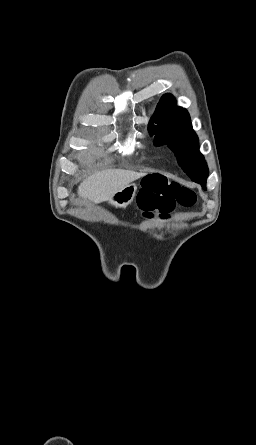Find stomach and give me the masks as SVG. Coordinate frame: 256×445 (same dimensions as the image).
Listing matches in <instances>:
<instances>
[{"instance_id": "1", "label": "stomach", "mask_w": 256, "mask_h": 445, "mask_svg": "<svg viewBox=\"0 0 256 445\" xmlns=\"http://www.w3.org/2000/svg\"><path fill=\"white\" fill-rule=\"evenodd\" d=\"M137 192V184L130 183L120 191L113 194L109 199V203L115 207L125 208L134 199Z\"/></svg>"}]
</instances>
